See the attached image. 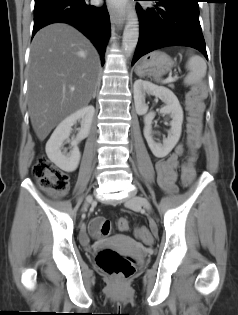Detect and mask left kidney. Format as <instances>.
Here are the masks:
<instances>
[{"instance_id":"obj_1","label":"left kidney","mask_w":238,"mask_h":315,"mask_svg":"<svg viewBox=\"0 0 238 315\" xmlns=\"http://www.w3.org/2000/svg\"><path fill=\"white\" fill-rule=\"evenodd\" d=\"M133 93L136 113L138 115H145L143 132L149 148L158 158L167 156L179 141L182 132L183 110L176 95L166 87H159L142 79H138L134 82ZM146 94L161 99L166 104L161 109V113L169 114L172 118L169 135L163 140V144L156 143L152 138V120L155 114L153 112L147 114L148 105L145 103Z\"/></svg>"}]
</instances>
